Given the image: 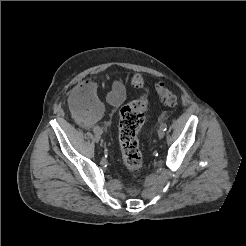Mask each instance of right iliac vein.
I'll list each match as a JSON object with an SVG mask.
<instances>
[{
    "instance_id": "63e3f726",
    "label": "right iliac vein",
    "mask_w": 246,
    "mask_h": 246,
    "mask_svg": "<svg viewBox=\"0 0 246 246\" xmlns=\"http://www.w3.org/2000/svg\"><path fill=\"white\" fill-rule=\"evenodd\" d=\"M100 139H101V135H100L99 133H95V135H94V140H95L96 142H99Z\"/></svg>"
}]
</instances>
